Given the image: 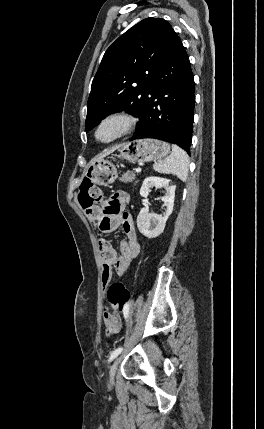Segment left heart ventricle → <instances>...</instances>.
Returning <instances> with one entry per match:
<instances>
[{
  "instance_id": "1",
  "label": "left heart ventricle",
  "mask_w": 264,
  "mask_h": 429,
  "mask_svg": "<svg viewBox=\"0 0 264 429\" xmlns=\"http://www.w3.org/2000/svg\"><path fill=\"white\" fill-rule=\"evenodd\" d=\"M118 130V124L117 123H109L107 124L101 131L100 136L102 138H109L111 137L116 131Z\"/></svg>"
}]
</instances>
